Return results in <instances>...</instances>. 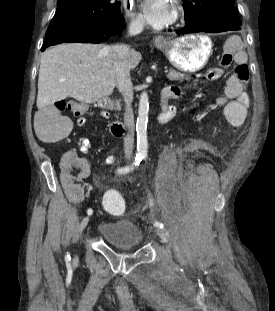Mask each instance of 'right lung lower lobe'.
<instances>
[{
	"label": "right lung lower lobe",
	"mask_w": 275,
	"mask_h": 311,
	"mask_svg": "<svg viewBox=\"0 0 275 311\" xmlns=\"http://www.w3.org/2000/svg\"><path fill=\"white\" fill-rule=\"evenodd\" d=\"M123 22L122 17L117 14L105 21L60 29L45 38L41 51H44L51 45L65 42L101 43L107 41L111 35L122 31Z\"/></svg>",
	"instance_id": "right-lung-lower-lobe-1"
}]
</instances>
